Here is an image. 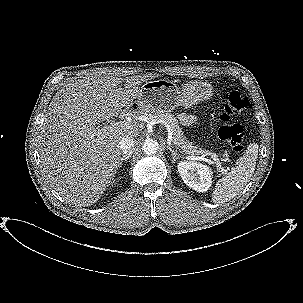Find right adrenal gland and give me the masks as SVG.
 Returning a JSON list of instances; mask_svg holds the SVG:
<instances>
[{"label": "right adrenal gland", "mask_w": 303, "mask_h": 303, "mask_svg": "<svg viewBox=\"0 0 303 303\" xmlns=\"http://www.w3.org/2000/svg\"><path fill=\"white\" fill-rule=\"evenodd\" d=\"M130 157H131L130 154H129V155H124V156L121 158V161H120V163H119V167H121V166H122V163H123L124 161H127Z\"/></svg>", "instance_id": "obj_1"}]
</instances>
